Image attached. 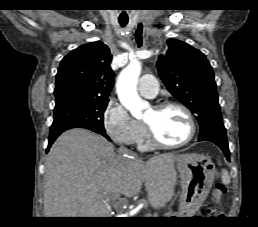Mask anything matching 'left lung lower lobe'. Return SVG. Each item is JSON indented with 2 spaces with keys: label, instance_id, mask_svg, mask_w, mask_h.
<instances>
[{
  "label": "left lung lower lobe",
  "instance_id": "0a47b994",
  "mask_svg": "<svg viewBox=\"0 0 258 227\" xmlns=\"http://www.w3.org/2000/svg\"><path fill=\"white\" fill-rule=\"evenodd\" d=\"M206 141H211L218 145L221 150L224 152L226 155V158L229 160V148H228V142L226 138H221V137H209L205 139Z\"/></svg>",
  "mask_w": 258,
  "mask_h": 227
}]
</instances>
